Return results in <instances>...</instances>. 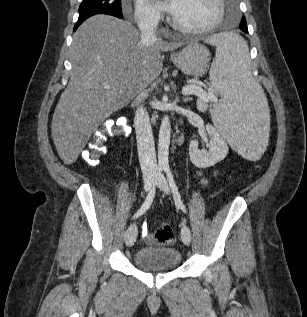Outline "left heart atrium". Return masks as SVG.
Masks as SVG:
<instances>
[{
	"mask_svg": "<svg viewBox=\"0 0 307 317\" xmlns=\"http://www.w3.org/2000/svg\"><path fill=\"white\" fill-rule=\"evenodd\" d=\"M178 0H165L160 2V5L167 11L173 13L176 10Z\"/></svg>",
	"mask_w": 307,
	"mask_h": 317,
	"instance_id": "39dd6f15",
	"label": "left heart atrium"
}]
</instances>
